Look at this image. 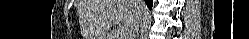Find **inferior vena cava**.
I'll list each match as a JSON object with an SVG mask.
<instances>
[{"instance_id":"1","label":"inferior vena cava","mask_w":249,"mask_h":39,"mask_svg":"<svg viewBox=\"0 0 249 39\" xmlns=\"http://www.w3.org/2000/svg\"><path fill=\"white\" fill-rule=\"evenodd\" d=\"M132 1L136 2L135 5L138 6V4L140 5V1H142V0H132ZM140 18H141V11H138V12L136 13V15H135V19L133 20L131 26L129 27V29H128V31H127V32H128V35H130L132 31L134 32V31L137 29V27H138V25H139ZM128 35H127V36H128ZM130 37H131V35H130ZM130 39H131V38H130Z\"/></svg>"}]
</instances>
